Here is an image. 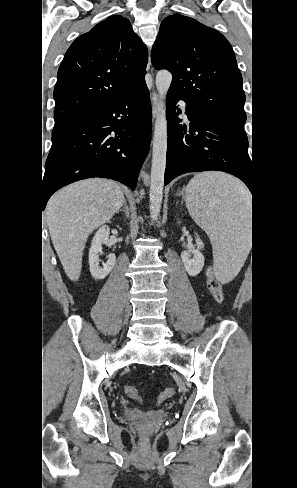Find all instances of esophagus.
<instances>
[{
	"label": "esophagus",
	"mask_w": 297,
	"mask_h": 488,
	"mask_svg": "<svg viewBox=\"0 0 297 488\" xmlns=\"http://www.w3.org/2000/svg\"><path fill=\"white\" fill-rule=\"evenodd\" d=\"M151 96H152V102H153V116L155 117L158 113V110H159L160 98L154 90L152 91Z\"/></svg>",
	"instance_id": "obj_1"
}]
</instances>
